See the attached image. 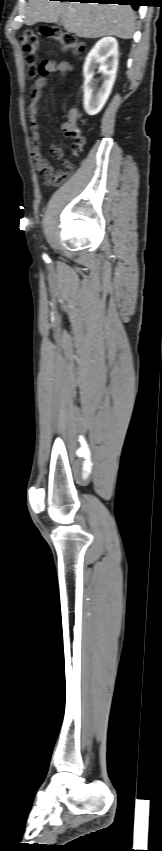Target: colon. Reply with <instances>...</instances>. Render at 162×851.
<instances>
[{"label": "colon", "mask_w": 162, "mask_h": 851, "mask_svg": "<svg viewBox=\"0 0 162 851\" xmlns=\"http://www.w3.org/2000/svg\"><path fill=\"white\" fill-rule=\"evenodd\" d=\"M43 35L56 40L61 47L66 51L79 53L84 49L83 44L71 33L62 32L58 27L50 26L42 30ZM21 51L24 61L27 65L28 76L33 78L40 74L41 65H38V50L39 38L32 31H26L20 36ZM66 135L74 141L73 151L75 154L82 150L84 138L80 132V128L76 116L71 113L67 121L63 125ZM66 177V172H55L52 177V182L58 184Z\"/></svg>", "instance_id": "colon-1"}]
</instances>
